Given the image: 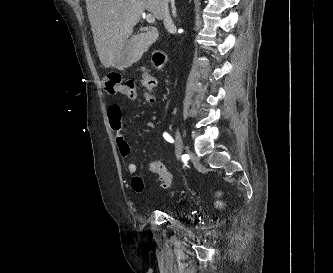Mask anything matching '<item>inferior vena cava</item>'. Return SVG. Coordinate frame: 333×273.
Here are the masks:
<instances>
[{
  "label": "inferior vena cava",
  "instance_id": "inferior-vena-cava-1",
  "mask_svg": "<svg viewBox=\"0 0 333 273\" xmlns=\"http://www.w3.org/2000/svg\"><path fill=\"white\" fill-rule=\"evenodd\" d=\"M169 1L170 0H161V2H160V9L162 12L163 24L167 30H169L173 27V21L171 19V16L169 13V8H168Z\"/></svg>",
  "mask_w": 333,
  "mask_h": 273
}]
</instances>
